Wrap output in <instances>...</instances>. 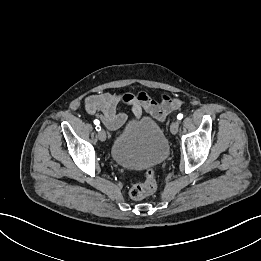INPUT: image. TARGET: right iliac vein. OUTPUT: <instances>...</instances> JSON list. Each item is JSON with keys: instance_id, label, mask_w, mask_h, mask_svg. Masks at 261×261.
Returning a JSON list of instances; mask_svg holds the SVG:
<instances>
[{"instance_id": "obj_1", "label": "right iliac vein", "mask_w": 261, "mask_h": 261, "mask_svg": "<svg viewBox=\"0 0 261 261\" xmlns=\"http://www.w3.org/2000/svg\"><path fill=\"white\" fill-rule=\"evenodd\" d=\"M98 138L100 141H105L106 140V132L104 130H100L98 132Z\"/></svg>"}]
</instances>
